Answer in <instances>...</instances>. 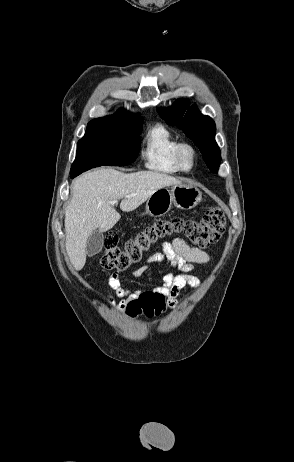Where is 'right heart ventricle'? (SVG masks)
<instances>
[{"label": "right heart ventricle", "mask_w": 294, "mask_h": 462, "mask_svg": "<svg viewBox=\"0 0 294 462\" xmlns=\"http://www.w3.org/2000/svg\"><path fill=\"white\" fill-rule=\"evenodd\" d=\"M179 144L180 142L165 125L156 124L151 127L146 134L142 152L145 167L159 173L180 172L175 159Z\"/></svg>", "instance_id": "e07e8e85"}]
</instances>
